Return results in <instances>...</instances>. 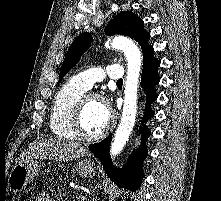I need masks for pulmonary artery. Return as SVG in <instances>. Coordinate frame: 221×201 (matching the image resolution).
<instances>
[{
  "mask_svg": "<svg viewBox=\"0 0 221 201\" xmlns=\"http://www.w3.org/2000/svg\"><path fill=\"white\" fill-rule=\"evenodd\" d=\"M123 76V67L118 64H111L104 68L98 67L80 72L73 78V81L85 90H89L95 83L105 78L119 81L123 79Z\"/></svg>",
  "mask_w": 221,
  "mask_h": 201,
  "instance_id": "pulmonary-artery-1",
  "label": "pulmonary artery"
}]
</instances>
